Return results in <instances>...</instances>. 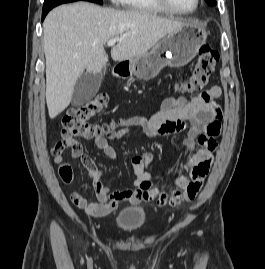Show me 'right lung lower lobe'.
Segmentation results:
<instances>
[{
	"label": "right lung lower lobe",
	"instance_id": "obj_1",
	"mask_svg": "<svg viewBox=\"0 0 265 269\" xmlns=\"http://www.w3.org/2000/svg\"><path fill=\"white\" fill-rule=\"evenodd\" d=\"M76 1H86V0H45L43 5L42 21L44 20L47 13L55 6L63 3H70Z\"/></svg>",
	"mask_w": 265,
	"mask_h": 269
}]
</instances>
